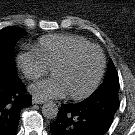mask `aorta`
Instances as JSON below:
<instances>
[{"label": "aorta", "instance_id": "obj_1", "mask_svg": "<svg viewBox=\"0 0 135 135\" xmlns=\"http://www.w3.org/2000/svg\"><path fill=\"white\" fill-rule=\"evenodd\" d=\"M42 114L47 119H54L58 114V106L54 102L49 101L42 106Z\"/></svg>", "mask_w": 135, "mask_h": 135}]
</instances>
